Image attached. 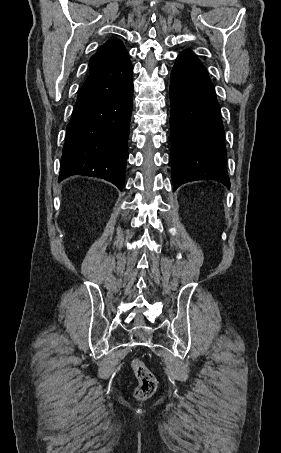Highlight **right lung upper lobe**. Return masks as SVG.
Returning a JSON list of instances; mask_svg holds the SVG:
<instances>
[{"mask_svg": "<svg viewBox=\"0 0 281 453\" xmlns=\"http://www.w3.org/2000/svg\"><path fill=\"white\" fill-rule=\"evenodd\" d=\"M126 49L120 39L114 38L108 40L89 61V71L92 72L105 66L117 58Z\"/></svg>", "mask_w": 281, "mask_h": 453, "instance_id": "obj_1", "label": "right lung upper lobe"}]
</instances>
